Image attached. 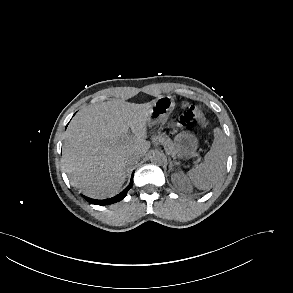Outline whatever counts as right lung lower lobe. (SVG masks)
<instances>
[{"instance_id": "98d812e1", "label": "right lung lower lobe", "mask_w": 293, "mask_h": 293, "mask_svg": "<svg viewBox=\"0 0 293 293\" xmlns=\"http://www.w3.org/2000/svg\"><path fill=\"white\" fill-rule=\"evenodd\" d=\"M132 184H133V175H132V178H131V181H130V184L121 192L119 193L118 195L110 198V199H105V200H96V199H91V198H88V197H85L83 196L88 202L92 203V204H96V205H108V204H113V203H116L120 200H122L128 190L132 187Z\"/></svg>"}]
</instances>
